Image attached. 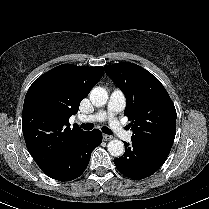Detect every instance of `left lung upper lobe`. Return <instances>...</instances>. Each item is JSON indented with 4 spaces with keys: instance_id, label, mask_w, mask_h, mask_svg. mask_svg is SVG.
<instances>
[{
    "instance_id": "left-lung-upper-lobe-1",
    "label": "left lung upper lobe",
    "mask_w": 209,
    "mask_h": 209,
    "mask_svg": "<svg viewBox=\"0 0 209 209\" xmlns=\"http://www.w3.org/2000/svg\"><path fill=\"white\" fill-rule=\"evenodd\" d=\"M124 92V115L134 131L131 139L145 145L171 149L176 132V110L161 82L142 67L122 62L104 66Z\"/></svg>"
}]
</instances>
